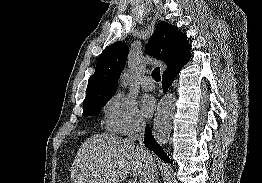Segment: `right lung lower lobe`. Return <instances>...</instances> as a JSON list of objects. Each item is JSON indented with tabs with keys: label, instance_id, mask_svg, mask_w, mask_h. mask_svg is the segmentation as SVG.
Instances as JSON below:
<instances>
[{
	"label": "right lung lower lobe",
	"instance_id": "1",
	"mask_svg": "<svg viewBox=\"0 0 262 183\" xmlns=\"http://www.w3.org/2000/svg\"><path fill=\"white\" fill-rule=\"evenodd\" d=\"M178 73H179V71L173 72L171 74L163 75L162 87H163L164 93L168 90L169 86L172 84V82L174 81V79L176 78ZM144 144L151 151H153L155 154H157L160 158L170 162L168 156L165 154L163 149L160 147V145L156 142V140L152 136V131L148 126L146 127V131H145Z\"/></svg>",
	"mask_w": 262,
	"mask_h": 183
}]
</instances>
